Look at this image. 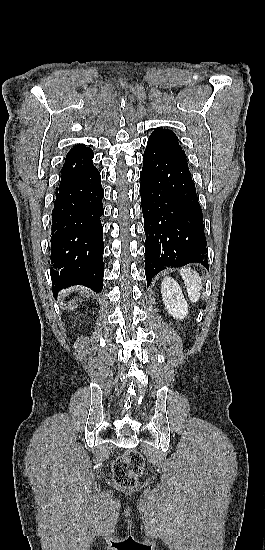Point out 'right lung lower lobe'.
I'll return each mask as SVG.
<instances>
[{"label":"right lung lower lobe","mask_w":265,"mask_h":550,"mask_svg":"<svg viewBox=\"0 0 265 550\" xmlns=\"http://www.w3.org/2000/svg\"><path fill=\"white\" fill-rule=\"evenodd\" d=\"M90 148L68 153L52 213L51 279L55 294L71 285L103 288L104 196Z\"/></svg>","instance_id":"right-lung-lower-lobe-1"}]
</instances>
